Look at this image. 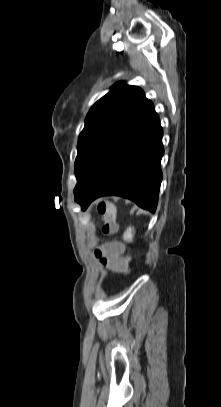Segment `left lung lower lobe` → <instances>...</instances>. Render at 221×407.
Segmentation results:
<instances>
[{
  "label": "left lung lower lobe",
  "mask_w": 221,
  "mask_h": 407,
  "mask_svg": "<svg viewBox=\"0 0 221 407\" xmlns=\"http://www.w3.org/2000/svg\"><path fill=\"white\" fill-rule=\"evenodd\" d=\"M162 136L159 117L148 100L75 194V201L85 210L100 196L118 195L154 212L162 181Z\"/></svg>",
  "instance_id": "obj_1"
}]
</instances>
